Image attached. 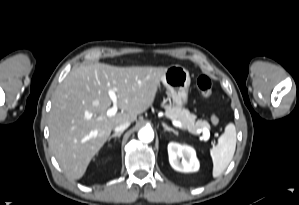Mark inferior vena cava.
Here are the masks:
<instances>
[{"label":"inferior vena cava","instance_id":"obj_1","mask_svg":"<svg viewBox=\"0 0 299 205\" xmlns=\"http://www.w3.org/2000/svg\"><path fill=\"white\" fill-rule=\"evenodd\" d=\"M130 126V122L129 121H126L118 126H116L114 128L115 132L116 133H119V132H123L125 129H127L128 127Z\"/></svg>","mask_w":299,"mask_h":205}]
</instances>
